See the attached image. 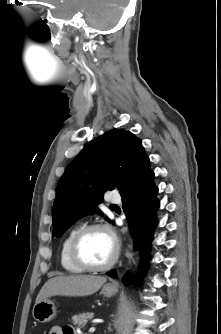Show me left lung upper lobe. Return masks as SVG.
Here are the masks:
<instances>
[{
  "instance_id": "left-lung-upper-lobe-1",
  "label": "left lung upper lobe",
  "mask_w": 221,
  "mask_h": 334,
  "mask_svg": "<svg viewBox=\"0 0 221 334\" xmlns=\"http://www.w3.org/2000/svg\"><path fill=\"white\" fill-rule=\"evenodd\" d=\"M148 163L141 141L130 131L113 130L92 141L58 182L52 235L61 237L77 219L94 212L107 189L116 186L122 193Z\"/></svg>"
}]
</instances>
